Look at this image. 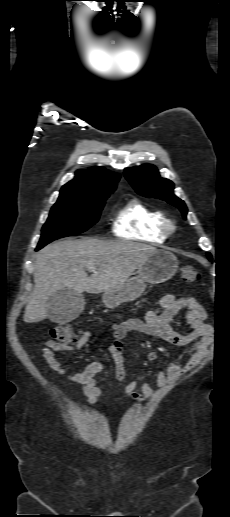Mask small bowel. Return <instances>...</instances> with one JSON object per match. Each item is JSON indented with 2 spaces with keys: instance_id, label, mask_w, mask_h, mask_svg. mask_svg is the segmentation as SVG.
Returning a JSON list of instances; mask_svg holds the SVG:
<instances>
[{
  "instance_id": "c3829d8e",
  "label": "small bowel",
  "mask_w": 230,
  "mask_h": 517,
  "mask_svg": "<svg viewBox=\"0 0 230 517\" xmlns=\"http://www.w3.org/2000/svg\"><path fill=\"white\" fill-rule=\"evenodd\" d=\"M181 310H186L185 321L191 328V331L187 334H180L171 327L173 318ZM205 320L206 312L203 306L194 298L189 296L177 298L168 294L160 299L159 309L149 311L145 319L133 318L112 324L113 341L109 346V352L114 362L117 380L125 383L124 393L134 400L142 401L153 392L152 387L147 382L132 380L126 383V370L122 351L123 340L129 332H142L160 337L169 343L187 347V361L184 359L177 360L166 369H161L157 372L155 384L157 387H162L174 383L178 378L193 370L207 356L208 347L213 340V329ZM90 338L91 332L84 331L74 348L51 339L47 340L41 351V356L50 369L60 375H65L66 371L57 359V354L63 351L81 349L88 343ZM147 359L155 361L157 353L149 352ZM104 369L105 366L102 362L93 361L84 369L67 375L71 382L82 388L83 393L92 405H95L100 398L104 397V393L97 385L95 378ZM137 388H140V391H137Z\"/></svg>"
}]
</instances>
